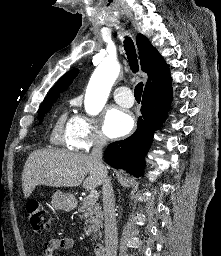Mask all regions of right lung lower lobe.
Masks as SVG:
<instances>
[{"mask_svg": "<svg viewBox=\"0 0 221 256\" xmlns=\"http://www.w3.org/2000/svg\"><path fill=\"white\" fill-rule=\"evenodd\" d=\"M172 100V87L143 94L138 127L127 139L111 143L105 153V161L112 167L126 170L130 175H143L145 155L153 140L154 131L159 129Z\"/></svg>", "mask_w": 221, "mask_h": 256, "instance_id": "98d812e1", "label": "right lung lower lobe"}]
</instances>
